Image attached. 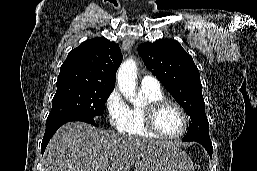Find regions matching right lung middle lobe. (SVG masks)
<instances>
[{
  "label": "right lung middle lobe",
  "instance_id": "obj_1",
  "mask_svg": "<svg viewBox=\"0 0 257 171\" xmlns=\"http://www.w3.org/2000/svg\"><path fill=\"white\" fill-rule=\"evenodd\" d=\"M113 89L86 84H70L58 87L47 119L67 114L90 118L99 116L103 113L105 103Z\"/></svg>",
  "mask_w": 257,
  "mask_h": 171
}]
</instances>
